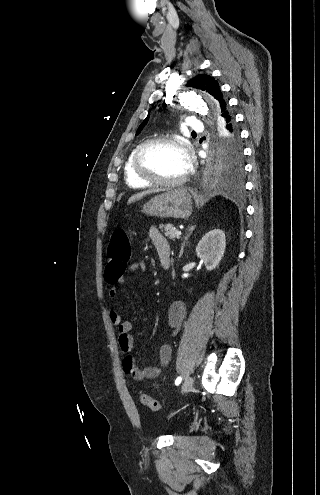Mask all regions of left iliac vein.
Returning <instances> with one entry per match:
<instances>
[{
    "label": "left iliac vein",
    "mask_w": 320,
    "mask_h": 495,
    "mask_svg": "<svg viewBox=\"0 0 320 495\" xmlns=\"http://www.w3.org/2000/svg\"><path fill=\"white\" fill-rule=\"evenodd\" d=\"M193 378L192 377H187L186 380L184 381L182 387H181V393H188L192 387H193Z\"/></svg>",
    "instance_id": "obj_1"
}]
</instances>
